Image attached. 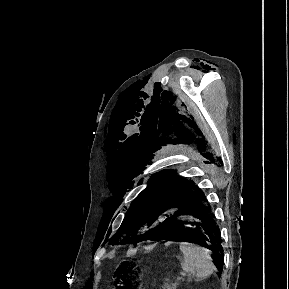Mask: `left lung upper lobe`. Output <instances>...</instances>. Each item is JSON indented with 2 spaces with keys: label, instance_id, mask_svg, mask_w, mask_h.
Listing matches in <instances>:
<instances>
[{
  "label": "left lung upper lobe",
  "instance_id": "obj_1",
  "mask_svg": "<svg viewBox=\"0 0 289 289\" xmlns=\"http://www.w3.org/2000/svg\"><path fill=\"white\" fill-rule=\"evenodd\" d=\"M188 186L193 187L194 183L176 176L172 170L153 175L148 187L131 203L110 244L135 245L143 240H152L169 217V204L182 188Z\"/></svg>",
  "mask_w": 289,
  "mask_h": 289
}]
</instances>
